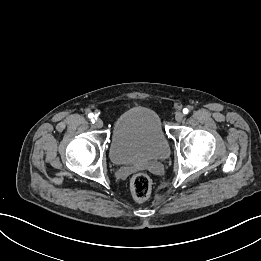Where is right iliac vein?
Here are the masks:
<instances>
[{"label": "right iliac vein", "instance_id": "obj_1", "mask_svg": "<svg viewBox=\"0 0 261 261\" xmlns=\"http://www.w3.org/2000/svg\"><path fill=\"white\" fill-rule=\"evenodd\" d=\"M95 126L97 128H102L103 127V121L101 119H97L95 122Z\"/></svg>", "mask_w": 261, "mask_h": 261}]
</instances>
